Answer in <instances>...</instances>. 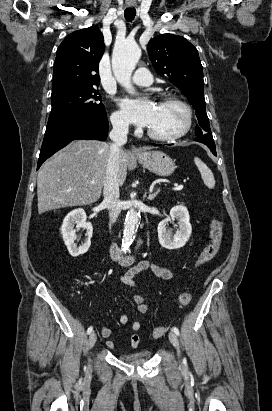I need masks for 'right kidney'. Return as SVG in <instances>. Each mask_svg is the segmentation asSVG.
<instances>
[{
  "instance_id": "right-kidney-1",
  "label": "right kidney",
  "mask_w": 272,
  "mask_h": 411,
  "mask_svg": "<svg viewBox=\"0 0 272 411\" xmlns=\"http://www.w3.org/2000/svg\"><path fill=\"white\" fill-rule=\"evenodd\" d=\"M75 225L77 230L81 228L86 230L87 238L80 246L75 244L77 238ZM61 234L71 256L77 257L88 251L91 245L93 227L90 222H87L86 213L82 208L75 209L67 214L61 226Z\"/></svg>"
}]
</instances>
